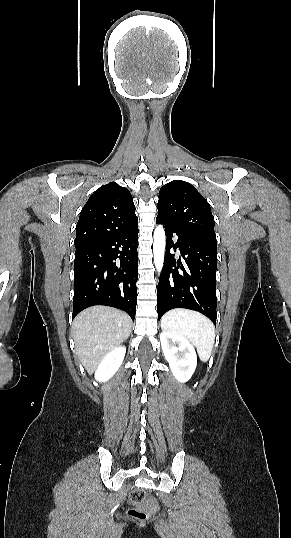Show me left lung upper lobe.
Returning a JSON list of instances; mask_svg holds the SVG:
<instances>
[{
  "instance_id": "1",
  "label": "left lung upper lobe",
  "mask_w": 291,
  "mask_h": 538,
  "mask_svg": "<svg viewBox=\"0 0 291 538\" xmlns=\"http://www.w3.org/2000/svg\"><path fill=\"white\" fill-rule=\"evenodd\" d=\"M157 208L161 221L185 232L216 238L210 205L190 183L173 180L164 185Z\"/></svg>"
}]
</instances>
